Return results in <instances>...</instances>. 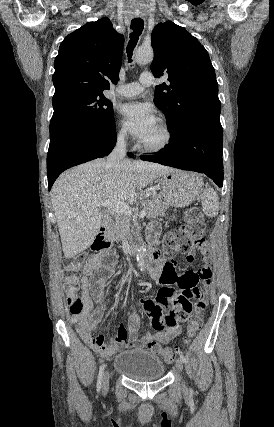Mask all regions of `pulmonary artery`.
Instances as JSON below:
<instances>
[{
  "instance_id": "pulmonary-artery-1",
  "label": "pulmonary artery",
  "mask_w": 274,
  "mask_h": 427,
  "mask_svg": "<svg viewBox=\"0 0 274 427\" xmlns=\"http://www.w3.org/2000/svg\"><path fill=\"white\" fill-rule=\"evenodd\" d=\"M154 83L152 75L147 72L141 74L139 81L121 86L118 92L125 97H133L141 94L145 88Z\"/></svg>"
}]
</instances>
